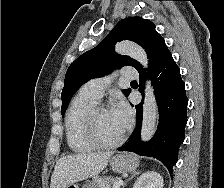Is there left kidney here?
Segmentation results:
<instances>
[{"label":"left kidney","mask_w":224,"mask_h":188,"mask_svg":"<svg viewBox=\"0 0 224 188\" xmlns=\"http://www.w3.org/2000/svg\"><path fill=\"white\" fill-rule=\"evenodd\" d=\"M133 188H163V177L156 171H146L136 180Z\"/></svg>","instance_id":"left-kidney-1"}]
</instances>
